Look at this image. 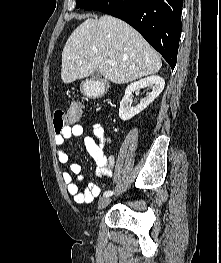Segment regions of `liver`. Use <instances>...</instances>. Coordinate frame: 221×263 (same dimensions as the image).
Listing matches in <instances>:
<instances>
[{
  "label": "liver",
  "mask_w": 221,
  "mask_h": 263,
  "mask_svg": "<svg viewBox=\"0 0 221 263\" xmlns=\"http://www.w3.org/2000/svg\"><path fill=\"white\" fill-rule=\"evenodd\" d=\"M161 67L160 56L134 28L104 15L86 19L72 32L62 51L61 78L68 84L98 69L105 79L124 84L153 75Z\"/></svg>",
  "instance_id": "liver-1"
}]
</instances>
